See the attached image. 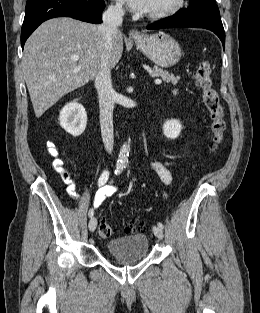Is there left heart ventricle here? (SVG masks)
I'll list each match as a JSON object with an SVG mask.
<instances>
[{
    "mask_svg": "<svg viewBox=\"0 0 260 313\" xmlns=\"http://www.w3.org/2000/svg\"><path fill=\"white\" fill-rule=\"evenodd\" d=\"M174 0H150L148 12L161 11L169 7Z\"/></svg>",
    "mask_w": 260,
    "mask_h": 313,
    "instance_id": "1",
    "label": "left heart ventricle"
}]
</instances>
